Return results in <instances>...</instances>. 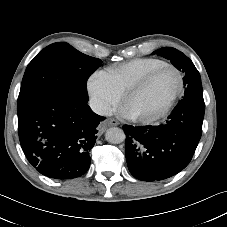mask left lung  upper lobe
<instances>
[{"mask_svg":"<svg viewBox=\"0 0 227 227\" xmlns=\"http://www.w3.org/2000/svg\"><path fill=\"white\" fill-rule=\"evenodd\" d=\"M168 60L183 74L185 96L177 105H198L205 107L201 77L193 62L181 51L172 47H163L153 52Z\"/></svg>","mask_w":227,"mask_h":227,"instance_id":"left-lung-upper-lobe-1","label":"left lung upper lobe"}]
</instances>
